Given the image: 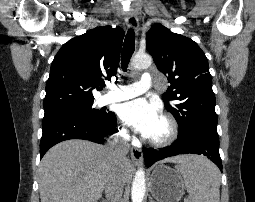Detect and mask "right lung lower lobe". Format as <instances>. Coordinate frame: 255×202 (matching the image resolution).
Here are the masks:
<instances>
[{"label":"right lung lower lobe","mask_w":255,"mask_h":202,"mask_svg":"<svg viewBox=\"0 0 255 202\" xmlns=\"http://www.w3.org/2000/svg\"><path fill=\"white\" fill-rule=\"evenodd\" d=\"M106 121L102 123L80 115L47 116L42 122V138L40 141V158L55 144L68 139H84L99 144L104 138L116 133V116L108 113Z\"/></svg>","instance_id":"1"}]
</instances>
